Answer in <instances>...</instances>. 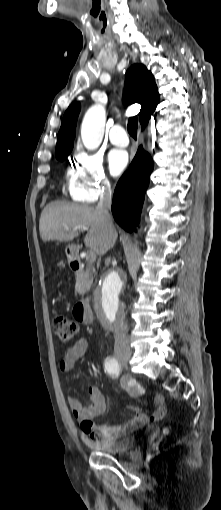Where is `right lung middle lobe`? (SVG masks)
I'll return each mask as SVG.
<instances>
[{
  "label": "right lung middle lobe",
  "instance_id": "1",
  "mask_svg": "<svg viewBox=\"0 0 221 510\" xmlns=\"http://www.w3.org/2000/svg\"><path fill=\"white\" fill-rule=\"evenodd\" d=\"M71 150L72 149H69V150H67V151H65L63 153H60V154L56 155V158L60 159V160H65L67 158V156L70 154Z\"/></svg>",
  "mask_w": 221,
  "mask_h": 510
}]
</instances>
